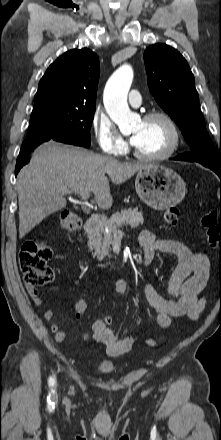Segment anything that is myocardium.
<instances>
[{
    "mask_svg": "<svg viewBox=\"0 0 221 440\" xmlns=\"http://www.w3.org/2000/svg\"><path fill=\"white\" fill-rule=\"evenodd\" d=\"M155 118H160V119L164 120L166 122V124L168 125V127L170 129V133H171L170 144L168 145V147L164 151H162L158 154H144V153L140 152L136 147H134L133 153L138 159L145 160V161L165 160V159L171 157L179 147L180 131H179V128H178L175 120L168 113H166L164 111L154 110V111L146 113L143 117V121H148V120H152Z\"/></svg>",
    "mask_w": 221,
    "mask_h": 440,
    "instance_id": "f54148a6",
    "label": "myocardium"
}]
</instances>
